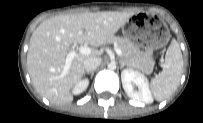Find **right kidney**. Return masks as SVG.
I'll use <instances>...</instances> for the list:
<instances>
[{
    "instance_id": "right-kidney-1",
    "label": "right kidney",
    "mask_w": 203,
    "mask_h": 123,
    "mask_svg": "<svg viewBox=\"0 0 203 123\" xmlns=\"http://www.w3.org/2000/svg\"><path fill=\"white\" fill-rule=\"evenodd\" d=\"M88 85H89L88 79L79 81L73 88V91H72L73 94H75V95L81 94L82 92H84L87 89Z\"/></svg>"
}]
</instances>
